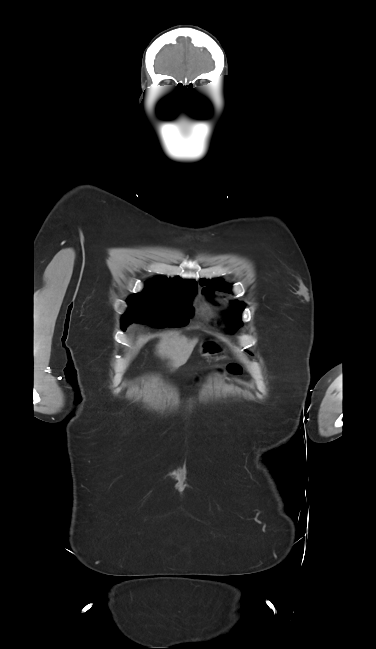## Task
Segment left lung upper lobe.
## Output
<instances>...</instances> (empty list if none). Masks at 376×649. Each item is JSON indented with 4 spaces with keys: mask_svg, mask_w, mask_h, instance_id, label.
I'll return each mask as SVG.
<instances>
[{
    "mask_svg": "<svg viewBox=\"0 0 376 649\" xmlns=\"http://www.w3.org/2000/svg\"><path fill=\"white\" fill-rule=\"evenodd\" d=\"M200 285H207L210 288L203 289L204 293H206L208 297L212 296V289L231 293V286L226 285L222 279H214L211 281L201 279ZM231 303L233 304V312H229V318H231L232 320L231 325H235L236 327L241 326L242 321L240 315L242 310L244 309V306L241 302L238 301H232Z\"/></svg>",
    "mask_w": 376,
    "mask_h": 649,
    "instance_id": "5c2ea615",
    "label": "left lung upper lobe"
}]
</instances>
